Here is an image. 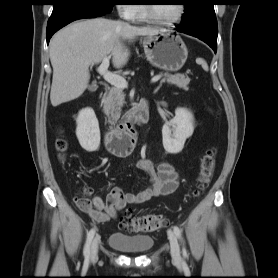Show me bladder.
<instances>
[{
	"label": "bladder",
	"instance_id": "bladder-1",
	"mask_svg": "<svg viewBox=\"0 0 278 278\" xmlns=\"http://www.w3.org/2000/svg\"><path fill=\"white\" fill-rule=\"evenodd\" d=\"M108 244L120 251L140 253L150 250L154 245V240L149 235H127L121 232H113L108 237Z\"/></svg>",
	"mask_w": 278,
	"mask_h": 278
}]
</instances>
